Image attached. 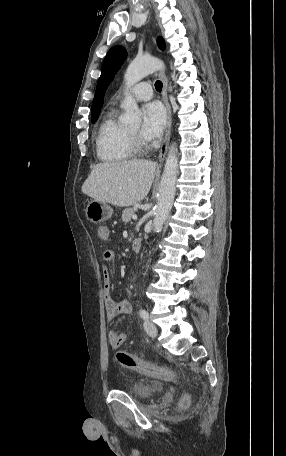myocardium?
Returning a JSON list of instances; mask_svg holds the SVG:
<instances>
[{
	"instance_id": "myocardium-1",
	"label": "myocardium",
	"mask_w": 286,
	"mask_h": 456,
	"mask_svg": "<svg viewBox=\"0 0 286 456\" xmlns=\"http://www.w3.org/2000/svg\"><path fill=\"white\" fill-rule=\"evenodd\" d=\"M132 144V150L134 153H142L146 150V143L139 137L138 134L129 132Z\"/></svg>"
}]
</instances>
